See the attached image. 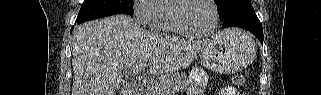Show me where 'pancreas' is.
<instances>
[{"instance_id":"obj_1","label":"pancreas","mask_w":321,"mask_h":95,"mask_svg":"<svg viewBox=\"0 0 321 95\" xmlns=\"http://www.w3.org/2000/svg\"><path fill=\"white\" fill-rule=\"evenodd\" d=\"M188 77L184 73L170 72L162 80L157 81V85L147 86L145 95H167L171 91L183 90L187 88Z\"/></svg>"}]
</instances>
